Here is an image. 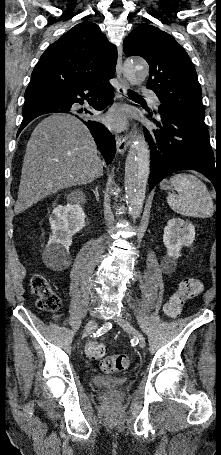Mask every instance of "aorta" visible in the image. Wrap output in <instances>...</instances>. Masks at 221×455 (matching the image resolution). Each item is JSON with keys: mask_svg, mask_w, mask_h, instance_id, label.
Here are the masks:
<instances>
[{"mask_svg": "<svg viewBox=\"0 0 221 455\" xmlns=\"http://www.w3.org/2000/svg\"><path fill=\"white\" fill-rule=\"evenodd\" d=\"M124 74L130 83H141L147 78L149 68L143 59L131 57L124 62ZM149 172V147L143 138H136L126 158L124 178L125 197L134 216L142 210Z\"/></svg>", "mask_w": 221, "mask_h": 455, "instance_id": "obj_1", "label": "aorta"}]
</instances>
